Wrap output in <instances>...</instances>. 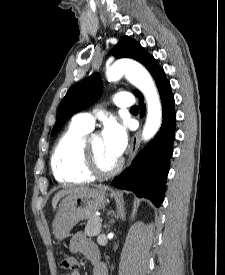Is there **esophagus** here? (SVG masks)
<instances>
[{
	"label": "esophagus",
	"instance_id": "obj_1",
	"mask_svg": "<svg viewBox=\"0 0 225 275\" xmlns=\"http://www.w3.org/2000/svg\"><path fill=\"white\" fill-rule=\"evenodd\" d=\"M139 136H140V132L138 131L132 137L131 148H130V161H132L137 154V150H138V146H139Z\"/></svg>",
	"mask_w": 225,
	"mask_h": 275
}]
</instances>
